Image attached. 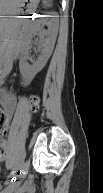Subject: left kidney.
<instances>
[{"label":"left kidney","instance_id":"1","mask_svg":"<svg viewBox=\"0 0 103 193\" xmlns=\"http://www.w3.org/2000/svg\"><path fill=\"white\" fill-rule=\"evenodd\" d=\"M40 17H43V16H40ZM42 23H44V20H36L33 23L32 30H31L32 34L38 33L40 38H43L44 36H46V38L42 40L41 55L32 65H29L27 63L26 55L29 50V44H30L29 40L24 42V45L21 51L22 59L19 62L20 73L24 79L29 81H31L35 77V75L38 72H40L46 65L48 59L52 54L55 40L57 37V30H58L57 19L53 18L47 22V25L49 26L47 31L42 30V27H41Z\"/></svg>","mask_w":103,"mask_h":193}]
</instances>
